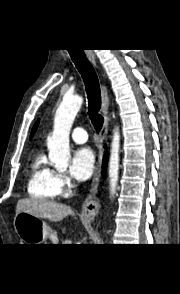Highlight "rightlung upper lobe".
<instances>
[{
    "instance_id": "cb5924a9",
    "label": "right lung upper lobe",
    "mask_w": 180,
    "mask_h": 294,
    "mask_svg": "<svg viewBox=\"0 0 180 294\" xmlns=\"http://www.w3.org/2000/svg\"><path fill=\"white\" fill-rule=\"evenodd\" d=\"M38 123L39 121L36 122V124L34 125V128L32 130V134H31V137L33 136V134L35 133L36 129H37V126H38Z\"/></svg>"
}]
</instances>
